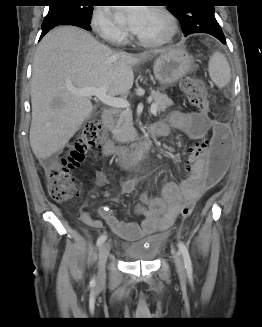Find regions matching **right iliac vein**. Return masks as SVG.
<instances>
[{
	"mask_svg": "<svg viewBox=\"0 0 262 327\" xmlns=\"http://www.w3.org/2000/svg\"><path fill=\"white\" fill-rule=\"evenodd\" d=\"M110 252V245L108 243H104L100 246L99 249V267H98V276H97V284L102 285L105 282V264L107 257Z\"/></svg>",
	"mask_w": 262,
	"mask_h": 327,
	"instance_id": "right-iliac-vein-1",
	"label": "right iliac vein"
}]
</instances>
